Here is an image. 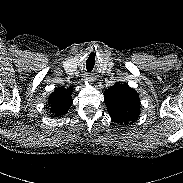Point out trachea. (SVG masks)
<instances>
[{
  "instance_id": "3493384b",
  "label": "trachea",
  "mask_w": 183,
  "mask_h": 183,
  "mask_svg": "<svg viewBox=\"0 0 183 183\" xmlns=\"http://www.w3.org/2000/svg\"><path fill=\"white\" fill-rule=\"evenodd\" d=\"M95 65V57L94 55H90L86 61V68L90 72L93 70Z\"/></svg>"
}]
</instances>
